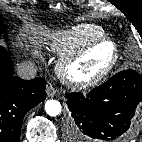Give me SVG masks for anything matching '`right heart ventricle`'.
<instances>
[{"instance_id": "right-heart-ventricle-1", "label": "right heart ventricle", "mask_w": 142, "mask_h": 142, "mask_svg": "<svg viewBox=\"0 0 142 142\" xmlns=\"http://www.w3.org/2000/svg\"><path fill=\"white\" fill-rule=\"evenodd\" d=\"M104 36L105 32L101 27L94 24H80L60 33L54 39L52 49L59 56H65Z\"/></svg>"}]
</instances>
